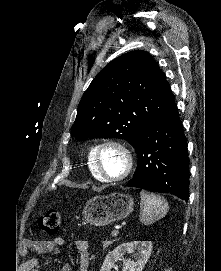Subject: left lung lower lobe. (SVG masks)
<instances>
[{
    "mask_svg": "<svg viewBox=\"0 0 221 271\" xmlns=\"http://www.w3.org/2000/svg\"><path fill=\"white\" fill-rule=\"evenodd\" d=\"M138 164L128 186L189 198L187 140L176 104L149 122L132 145Z\"/></svg>",
    "mask_w": 221,
    "mask_h": 271,
    "instance_id": "left-lung-lower-lobe-1",
    "label": "left lung lower lobe"
}]
</instances>
